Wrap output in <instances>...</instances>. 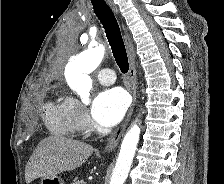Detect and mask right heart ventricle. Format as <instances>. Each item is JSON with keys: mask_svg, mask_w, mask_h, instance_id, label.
Wrapping results in <instances>:
<instances>
[{"mask_svg": "<svg viewBox=\"0 0 224 184\" xmlns=\"http://www.w3.org/2000/svg\"><path fill=\"white\" fill-rule=\"evenodd\" d=\"M46 124L48 129L56 135L72 136L76 132L72 112L66 99L48 104Z\"/></svg>", "mask_w": 224, "mask_h": 184, "instance_id": "right-heart-ventricle-1", "label": "right heart ventricle"}]
</instances>
